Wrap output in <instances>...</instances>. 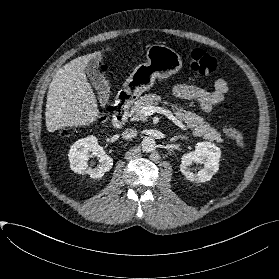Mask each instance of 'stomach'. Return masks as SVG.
Returning <instances> with one entry per match:
<instances>
[{
    "mask_svg": "<svg viewBox=\"0 0 279 279\" xmlns=\"http://www.w3.org/2000/svg\"><path fill=\"white\" fill-rule=\"evenodd\" d=\"M147 62L139 65L130 75L128 83L139 84L136 90H147L156 78L167 79L182 68L181 56L172 48L160 43L148 46Z\"/></svg>",
    "mask_w": 279,
    "mask_h": 279,
    "instance_id": "obj_1",
    "label": "stomach"
}]
</instances>
